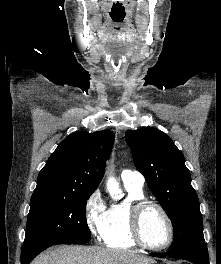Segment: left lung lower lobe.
<instances>
[{
    "mask_svg": "<svg viewBox=\"0 0 221 264\" xmlns=\"http://www.w3.org/2000/svg\"><path fill=\"white\" fill-rule=\"evenodd\" d=\"M153 256L164 258L165 256L184 259L193 264H209L206 244H186L171 248L166 253H151Z\"/></svg>",
    "mask_w": 221,
    "mask_h": 264,
    "instance_id": "obj_1",
    "label": "left lung lower lobe"
}]
</instances>
